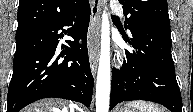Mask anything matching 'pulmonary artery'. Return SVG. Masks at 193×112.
<instances>
[{
  "mask_svg": "<svg viewBox=\"0 0 193 112\" xmlns=\"http://www.w3.org/2000/svg\"><path fill=\"white\" fill-rule=\"evenodd\" d=\"M111 9H112V11H113L115 14H117V15H119V16H123V9H122V7H121L119 4H117V3H112V4H111Z\"/></svg>",
  "mask_w": 193,
  "mask_h": 112,
  "instance_id": "pulmonary-artery-1",
  "label": "pulmonary artery"
}]
</instances>
